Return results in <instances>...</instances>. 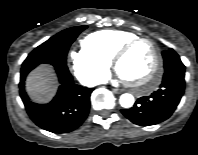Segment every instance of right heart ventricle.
Here are the masks:
<instances>
[{
    "instance_id": "e07e8e85",
    "label": "right heart ventricle",
    "mask_w": 198,
    "mask_h": 155,
    "mask_svg": "<svg viewBox=\"0 0 198 155\" xmlns=\"http://www.w3.org/2000/svg\"><path fill=\"white\" fill-rule=\"evenodd\" d=\"M137 36L136 33L126 30L106 29L89 34L82 43L87 49L110 62L121 45Z\"/></svg>"
}]
</instances>
